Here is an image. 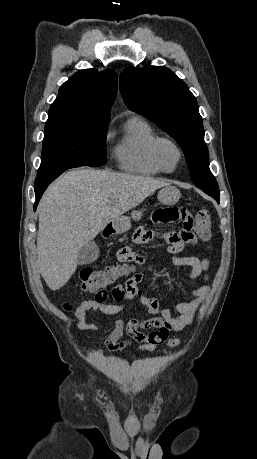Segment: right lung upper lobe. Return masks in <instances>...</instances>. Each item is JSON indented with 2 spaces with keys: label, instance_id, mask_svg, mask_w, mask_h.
I'll use <instances>...</instances> for the list:
<instances>
[{
  "label": "right lung upper lobe",
  "instance_id": "obj_1",
  "mask_svg": "<svg viewBox=\"0 0 257 459\" xmlns=\"http://www.w3.org/2000/svg\"><path fill=\"white\" fill-rule=\"evenodd\" d=\"M116 90L115 71L80 70L60 87L58 97L49 109V116L109 124L110 106Z\"/></svg>",
  "mask_w": 257,
  "mask_h": 459
}]
</instances>
